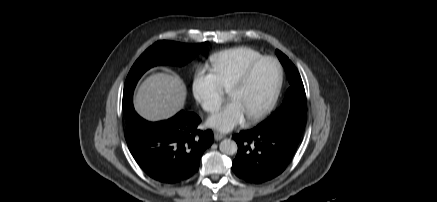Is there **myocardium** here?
Instances as JSON below:
<instances>
[{
    "instance_id": "f54148a6",
    "label": "myocardium",
    "mask_w": 437,
    "mask_h": 202,
    "mask_svg": "<svg viewBox=\"0 0 437 202\" xmlns=\"http://www.w3.org/2000/svg\"><path fill=\"white\" fill-rule=\"evenodd\" d=\"M265 61H272L276 64L277 69H278V77H277V81H276L273 93H272L269 101L267 102V104L259 112H257L256 114L247 118L248 122H250V123H254V122H258V121L262 120L275 107L277 100L279 98L280 92H281V88H282V84H283V77H284L283 67H282L281 63L279 62V60L277 58H275L273 56H262L258 59H255L245 68L243 73L238 77V79L233 83V85L229 89V95H231L234 91H236V90L242 88L244 85H246L247 82L250 80L256 67Z\"/></svg>"
}]
</instances>
